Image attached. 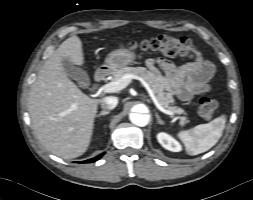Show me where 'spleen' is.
Returning <instances> with one entry per match:
<instances>
[{
	"label": "spleen",
	"mask_w": 253,
	"mask_h": 200,
	"mask_svg": "<svg viewBox=\"0 0 253 200\" xmlns=\"http://www.w3.org/2000/svg\"><path fill=\"white\" fill-rule=\"evenodd\" d=\"M226 116L222 115L207 124H200L178 134L189 155H198L211 149L222 136Z\"/></svg>",
	"instance_id": "1"
}]
</instances>
